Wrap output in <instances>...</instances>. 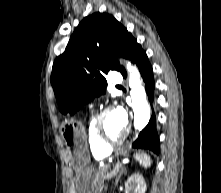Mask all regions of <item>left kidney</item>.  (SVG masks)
<instances>
[{
	"label": "left kidney",
	"mask_w": 221,
	"mask_h": 193,
	"mask_svg": "<svg viewBox=\"0 0 221 193\" xmlns=\"http://www.w3.org/2000/svg\"><path fill=\"white\" fill-rule=\"evenodd\" d=\"M146 183L139 173L132 174L125 182V193H145Z\"/></svg>",
	"instance_id": "obj_1"
}]
</instances>
